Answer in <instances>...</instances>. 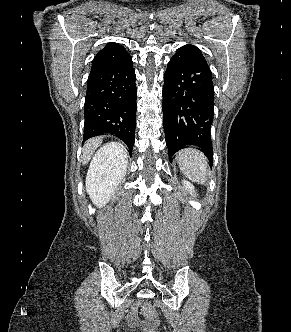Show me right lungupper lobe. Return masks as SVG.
Segmentation results:
<instances>
[{
    "mask_svg": "<svg viewBox=\"0 0 291 332\" xmlns=\"http://www.w3.org/2000/svg\"><path fill=\"white\" fill-rule=\"evenodd\" d=\"M130 55L127 53L123 46L116 43H108L102 50H100L95 56L92 67L102 64L119 62Z\"/></svg>",
    "mask_w": 291,
    "mask_h": 332,
    "instance_id": "1",
    "label": "right lung upper lobe"
}]
</instances>
